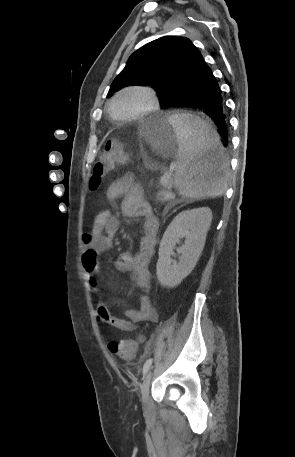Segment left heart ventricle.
<instances>
[{"mask_svg":"<svg viewBox=\"0 0 295 457\" xmlns=\"http://www.w3.org/2000/svg\"><path fill=\"white\" fill-rule=\"evenodd\" d=\"M147 104L146 98L137 92H130L120 96L114 104V112L117 116H131L142 110Z\"/></svg>","mask_w":295,"mask_h":457,"instance_id":"b2bd125f","label":"left heart ventricle"}]
</instances>
